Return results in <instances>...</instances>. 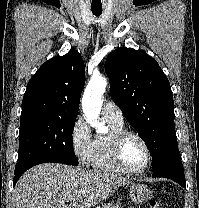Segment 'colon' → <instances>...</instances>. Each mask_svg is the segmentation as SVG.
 Segmentation results:
<instances>
[{"label": "colon", "instance_id": "1", "mask_svg": "<svg viewBox=\"0 0 199 208\" xmlns=\"http://www.w3.org/2000/svg\"><path fill=\"white\" fill-rule=\"evenodd\" d=\"M148 205H149L148 208H164L163 207V204L160 201L155 200V199H151L149 201V204Z\"/></svg>", "mask_w": 199, "mask_h": 208}]
</instances>
